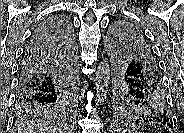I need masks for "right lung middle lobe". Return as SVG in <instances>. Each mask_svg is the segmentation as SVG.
Wrapping results in <instances>:
<instances>
[{
  "label": "right lung middle lobe",
  "instance_id": "dd1d6c3e",
  "mask_svg": "<svg viewBox=\"0 0 184 133\" xmlns=\"http://www.w3.org/2000/svg\"><path fill=\"white\" fill-rule=\"evenodd\" d=\"M60 18L63 21V25L69 30L70 36L74 39L73 31L71 28L70 23L62 18V17H55ZM74 42V41H73ZM73 63L70 64L71 74L68 80H65L64 87L60 93L55 95V97L46 100L40 104L36 105H26V104H16V112L17 115L20 117H28L32 115H45V114H52L66 110L71 105L72 101V82L74 81V73H73Z\"/></svg>",
  "mask_w": 184,
  "mask_h": 133
}]
</instances>
